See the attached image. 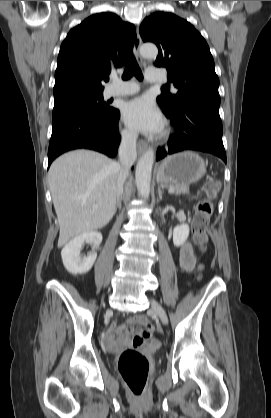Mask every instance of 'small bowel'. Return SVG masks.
Returning <instances> with one entry per match:
<instances>
[{
    "label": "small bowel",
    "mask_w": 271,
    "mask_h": 418,
    "mask_svg": "<svg viewBox=\"0 0 271 418\" xmlns=\"http://www.w3.org/2000/svg\"><path fill=\"white\" fill-rule=\"evenodd\" d=\"M179 261L180 266L184 271L188 272L194 268L195 257L190 243L185 242L181 246ZM138 319L139 317H132L128 319L123 327H118L115 324L111 325L104 337L106 348L111 351H115L122 345L128 343H132L134 346H141L143 344V337L141 335H136L130 339V336L133 333V325L140 323ZM152 344L156 345L157 342L152 340Z\"/></svg>",
    "instance_id": "obj_1"
}]
</instances>
